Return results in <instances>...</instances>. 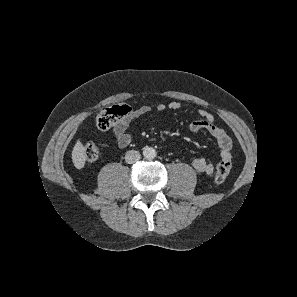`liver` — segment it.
Wrapping results in <instances>:
<instances>
[{
  "label": "liver",
  "mask_w": 297,
  "mask_h": 297,
  "mask_svg": "<svg viewBox=\"0 0 297 297\" xmlns=\"http://www.w3.org/2000/svg\"><path fill=\"white\" fill-rule=\"evenodd\" d=\"M86 153L83 144L77 141L72 150V161L77 169H81L85 165Z\"/></svg>",
  "instance_id": "liver-1"
}]
</instances>
